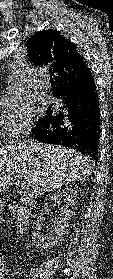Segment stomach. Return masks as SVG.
Returning a JSON list of instances; mask_svg holds the SVG:
<instances>
[{"label":"stomach","mask_w":113,"mask_h":279,"mask_svg":"<svg viewBox=\"0 0 113 279\" xmlns=\"http://www.w3.org/2000/svg\"><path fill=\"white\" fill-rule=\"evenodd\" d=\"M2 208V200L0 199V209Z\"/></svg>","instance_id":"1"}]
</instances>
